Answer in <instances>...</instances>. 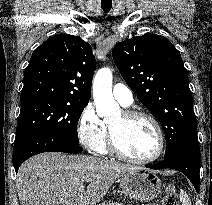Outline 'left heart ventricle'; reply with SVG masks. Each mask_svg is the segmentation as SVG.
I'll list each match as a JSON object with an SVG mask.
<instances>
[{"label":"left heart ventricle","mask_w":212,"mask_h":205,"mask_svg":"<svg viewBox=\"0 0 212 205\" xmlns=\"http://www.w3.org/2000/svg\"><path fill=\"white\" fill-rule=\"evenodd\" d=\"M118 144L124 153L134 158H144L156 150L157 139L151 123L142 117L125 120L122 113L109 122Z\"/></svg>","instance_id":"b2bd125f"}]
</instances>
